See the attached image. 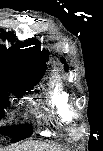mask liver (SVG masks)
I'll return each mask as SVG.
<instances>
[{
    "mask_svg": "<svg viewBox=\"0 0 103 151\" xmlns=\"http://www.w3.org/2000/svg\"><path fill=\"white\" fill-rule=\"evenodd\" d=\"M11 151H62L56 146L46 144L40 141H27L16 148L11 149Z\"/></svg>",
    "mask_w": 103,
    "mask_h": 151,
    "instance_id": "1",
    "label": "liver"
}]
</instances>
